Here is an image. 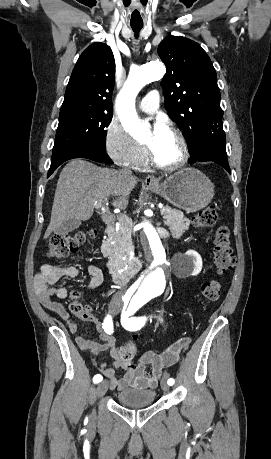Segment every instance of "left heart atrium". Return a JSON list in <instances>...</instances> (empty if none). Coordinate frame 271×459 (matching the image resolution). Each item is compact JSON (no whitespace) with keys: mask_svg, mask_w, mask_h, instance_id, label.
Here are the masks:
<instances>
[{"mask_svg":"<svg viewBox=\"0 0 271 459\" xmlns=\"http://www.w3.org/2000/svg\"><path fill=\"white\" fill-rule=\"evenodd\" d=\"M166 131V125L165 123L158 119L156 120V122L154 123V126H153V132L156 136H159L161 135L162 133H164Z\"/></svg>","mask_w":271,"mask_h":459,"instance_id":"obj_1","label":"left heart atrium"}]
</instances>
